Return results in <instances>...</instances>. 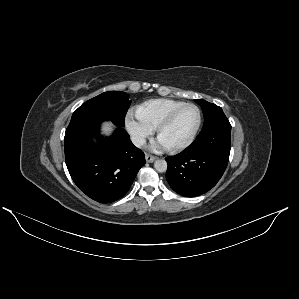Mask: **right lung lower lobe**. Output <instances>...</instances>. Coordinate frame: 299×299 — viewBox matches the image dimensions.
Masks as SVG:
<instances>
[{"instance_id":"right-lung-lower-lobe-1","label":"right lung lower lobe","mask_w":299,"mask_h":299,"mask_svg":"<svg viewBox=\"0 0 299 299\" xmlns=\"http://www.w3.org/2000/svg\"><path fill=\"white\" fill-rule=\"evenodd\" d=\"M103 120L70 122L64 138L65 161L82 192L100 203H110L122 198L129 190L145 164V156L120 126L110 138H103L99 134ZM94 136L98 138V144L92 142Z\"/></svg>"}]
</instances>
